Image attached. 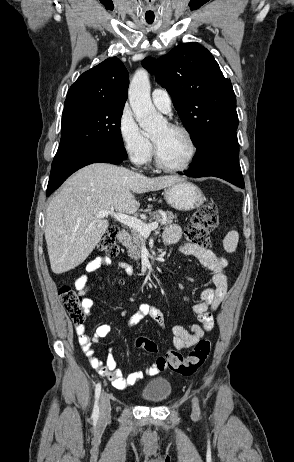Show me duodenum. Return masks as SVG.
<instances>
[{
	"label": "duodenum",
	"mask_w": 294,
	"mask_h": 462,
	"mask_svg": "<svg viewBox=\"0 0 294 462\" xmlns=\"http://www.w3.org/2000/svg\"><path fill=\"white\" fill-rule=\"evenodd\" d=\"M128 238H129V233L125 229H122L117 233V239L120 243L126 242Z\"/></svg>",
	"instance_id": "duodenum-1"
}]
</instances>
